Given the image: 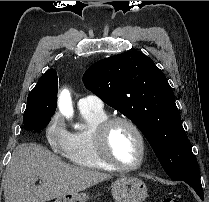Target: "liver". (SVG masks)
<instances>
[{"label":"liver","mask_w":209,"mask_h":202,"mask_svg":"<svg viewBox=\"0 0 209 202\" xmlns=\"http://www.w3.org/2000/svg\"><path fill=\"white\" fill-rule=\"evenodd\" d=\"M111 176L63 162L35 143L18 145L3 175L5 202H46L77 194ZM41 179L42 183L35 185Z\"/></svg>","instance_id":"1"}]
</instances>
